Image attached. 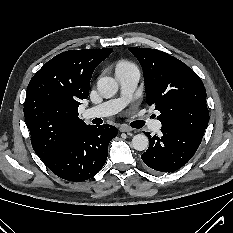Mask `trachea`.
Wrapping results in <instances>:
<instances>
[{"label": "trachea", "mask_w": 233, "mask_h": 233, "mask_svg": "<svg viewBox=\"0 0 233 233\" xmlns=\"http://www.w3.org/2000/svg\"><path fill=\"white\" fill-rule=\"evenodd\" d=\"M144 124H145L144 121L138 120V121H135V122H134L133 127H134V128H142V127L144 126Z\"/></svg>", "instance_id": "1"}]
</instances>
